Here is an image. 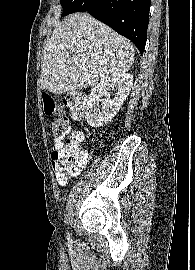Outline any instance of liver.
I'll use <instances>...</instances> for the list:
<instances>
[{
    "label": "liver",
    "instance_id": "1",
    "mask_svg": "<svg viewBox=\"0 0 195 270\" xmlns=\"http://www.w3.org/2000/svg\"><path fill=\"white\" fill-rule=\"evenodd\" d=\"M132 43L88 13H74L56 26L47 40L41 69V88L62 94L129 71Z\"/></svg>",
    "mask_w": 195,
    "mask_h": 270
}]
</instances>
